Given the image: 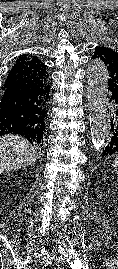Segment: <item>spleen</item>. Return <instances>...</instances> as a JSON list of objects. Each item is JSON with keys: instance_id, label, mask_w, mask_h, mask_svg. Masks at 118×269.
<instances>
[{"instance_id": "3e777b00", "label": "spleen", "mask_w": 118, "mask_h": 269, "mask_svg": "<svg viewBox=\"0 0 118 269\" xmlns=\"http://www.w3.org/2000/svg\"><path fill=\"white\" fill-rule=\"evenodd\" d=\"M113 166H114L115 171L118 173V155H116L115 157Z\"/></svg>"}]
</instances>
